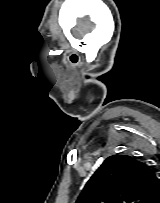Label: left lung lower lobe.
Masks as SVG:
<instances>
[{
	"mask_svg": "<svg viewBox=\"0 0 160 203\" xmlns=\"http://www.w3.org/2000/svg\"><path fill=\"white\" fill-rule=\"evenodd\" d=\"M154 203H160V195H159V197L156 199V201Z\"/></svg>",
	"mask_w": 160,
	"mask_h": 203,
	"instance_id": "1",
	"label": "left lung lower lobe"
}]
</instances>
